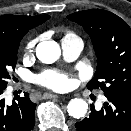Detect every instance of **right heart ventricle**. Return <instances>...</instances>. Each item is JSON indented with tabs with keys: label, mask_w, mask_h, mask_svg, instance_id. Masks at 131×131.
Instances as JSON below:
<instances>
[{
	"label": "right heart ventricle",
	"mask_w": 131,
	"mask_h": 131,
	"mask_svg": "<svg viewBox=\"0 0 131 131\" xmlns=\"http://www.w3.org/2000/svg\"><path fill=\"white\" fill-rule=\"evenodd\" d=\"M67 36H74L73 34H67L65 37H67Z\"/></svg>",
	"instance_id": "right-heart-ventricle-1"
}]
</instances>
